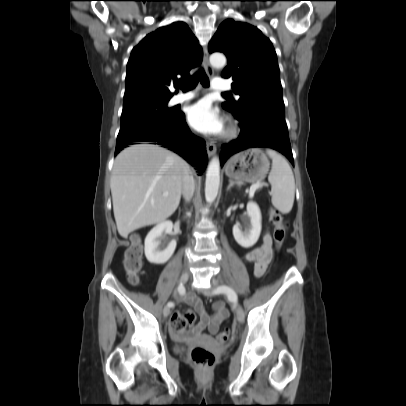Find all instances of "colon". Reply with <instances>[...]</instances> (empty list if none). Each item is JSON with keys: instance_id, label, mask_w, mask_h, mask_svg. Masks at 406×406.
<instances>
[{"instance_id": "obj_1", "label": "colon", "mask_w": 406, "mask_h": 406, "mask_svg": "<svg viewBox=\"0 0 406 406\" xmlns=\"http://www.w3.org/2000/svg\"><path fill=\"white\" fill-rule=\"evenodd\" d=\"M269 220L273 226V239L276 246H281L284 242L287 224L282 212L270 209ZM123 266L127 279L130 283L139 282L143 274V249L140 242L135 239L126 249L123 258ZM195 320V315L191 312H175L170 318V327L174 331H183ZM231 339L228 332H221L217 335V341L221 344L227 343ZM192 362L202 368L210 367L215 360L214 354L203 348L195 347L190 354Z\"/></svg>"}]
</instances>
